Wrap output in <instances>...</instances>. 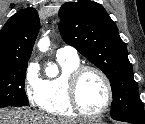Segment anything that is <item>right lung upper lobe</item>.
Returning a JSON list of instances; mask_svg holds the SVG:
<instances>
[{"label":"right lung upper lobe","instance_id":"cb5924a9","mask_svg":"<svg viewBox=\"0 0 145 124\" xmlns=\"http://www.w3.org/2000/svg\"><path fill=\"white\" fill-rule=\"evenodd\" d=\"M39 28L34 8L13 15L0 31V64L29 60Z\"/></svg>","mask_w":145,"mask_h":124}]
</instances>
